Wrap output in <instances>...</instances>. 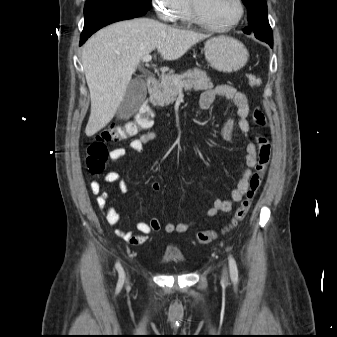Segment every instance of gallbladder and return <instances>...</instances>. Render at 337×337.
<instances>
[{"label": "gallbladder", "mask_w": 337, "mask_h": 337, "mask_svg": "<svg viewBox=\"0 0 337 337\" xmlns=\"http://www.w3.org/2000/svg\"><path fill=\"white\" fill-rule=\"evenodd\" d=\"M146 96V84L142 78L132 80L126 90L125 98L118 109V117L128 118L134 114Z\"/></svg>", "instance_id": "gallbladder-1"}]
</instances>
